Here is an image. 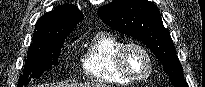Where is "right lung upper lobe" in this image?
Instances as JSON below:
<instances>
[{"label": "right lung upper lobe", "mask_w": 205, "mask_h": 87, "mask_svg": "<svg viewBox=\"0 0 205 87\" xmlns=\"http://www.w3.org/2000/svg\"><path fill=\"white\" fill-rule=\"evenodd\" d=\"M82 19L83 14L76 6H58L37 21L32 40L38 41L68 36Z\"/></svg>", "instance_id": "right-lung-upper-lobe-1"}]
</instances>
